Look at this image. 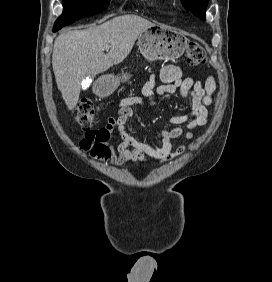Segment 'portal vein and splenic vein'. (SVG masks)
Here are the masks:
<instances>
[{"mask_svg":"<svg viewBox=\"0 0 272 282\" xmlns=\"http://www.w3.org/2000/svg\"><path fill=\"white\" fill-rule=\"evenodd\" d=\"M109 48H110V47H109L108 45L104 46V50H105V51H109Z\"/></svg>","mask_w":272,"mask_h":282,"instance_id":"portal-vein-and-splenic-vein-1","label":"portal vein and splenic vein"}]
</instances>
